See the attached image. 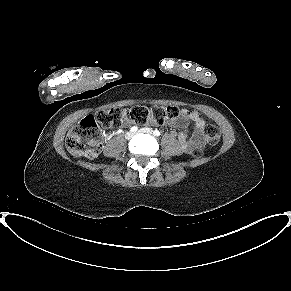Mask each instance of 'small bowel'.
Here are the masks:
<instances>
[{
    "label": "small bowel",
    "mask_w": 291,
    "mask_h": 291,
    "mask_svg": "<svg viewBox=\"0 0 291 291\" xmlns=\"http://www.w3.org/2000/svg\"><path fill=\"white\" fill-rule=\"evenodd\" d=\"M189 121L193 124L194 130L191 135L187 132H181L178 135L179 143L182 148L188 152H192L196 148H200L205 142L204 127L205 122L200 117L197 111H189L182 109L180 116L174 120L167 121L165 123H170L176 127H182L185 123ZM131 123L128 119L122 121V126H128Z\"/></svg>",
    "instance_id": "1"
}]
</instances>
